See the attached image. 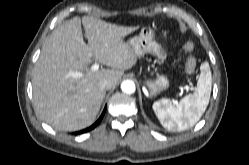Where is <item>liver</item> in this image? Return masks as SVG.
Segmentation results:
<instances>
[{
  "label": "liver",
  "mask_w": 249,
  "mask_h": 165,
  "mask_svg": "<svg viewBox=\"0 0 249 165\" xmlns=\"http://www.w3.org/2000/svg\"><path fill=\"white\" fill-rule=\"evenodd\" d=\"M81 22L88 44L84 42ZM137 27H123L100 19L74 17L56 29L44 44L33 70V101L36 113L61 131L90 126L101 107L109 80L115 87L124 70L137 63V54L123 38ZM95 60L111 69L92 71ZM82 77L75 78L73 73Z\"/></svg>",
  "instance_id": "1"
}]
</instances>
